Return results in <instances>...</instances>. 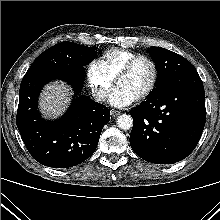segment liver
<instances>
[{"instance_id": "obj_1", "label": "liver", "mask_w": 220, "mask_h": 220, "mask_svg": "<svg viewBox=\"0 0 220 220\" xmlns=\"http://www.w3.org/2000/svg\"><path fill=\"white\" fill-rule=\"evenodd\" d=\"M71 89L62 82H53L46 85L41 93L39 107L48 118L61 115L70 102Z\"/></svg>"}]
</instances>
